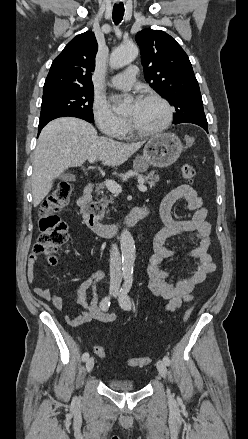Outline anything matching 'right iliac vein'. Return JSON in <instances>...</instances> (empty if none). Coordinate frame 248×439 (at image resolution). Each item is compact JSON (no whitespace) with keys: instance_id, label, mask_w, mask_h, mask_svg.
Masks as SVG:
<instances>
[{"instance_id":"1","label":"right iliac vein","mask_w":248,"mask_h":439,"mask_svg":"<svg viewBox=\"0 0 248 439\" xmlns=\"http://www.w3.org/2000/svg\"><path fill=\"white\" fill-rule=\"evenodd\" d=\"M111 292H114L113 289L111 290ZM94 358L90 357L86 360V371L87 372H91L93 370L94 367Z\"/></svg>"}]
</instances>
